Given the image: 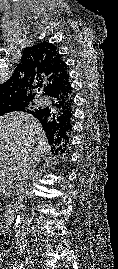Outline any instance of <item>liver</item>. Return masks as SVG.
Returning a JSON list of instances; mask_svg holds the SVG:
<instances>
[{
  "label": "liver",
  "instance_id": "1",
  "mask_svg": "<svg viewBox=\"0 0 118 269\" xmlns=\"http://www.w3.org/2000/svg\"><path fill=\"white\" fill-rule=\"evenodd\" d=\"M50 145L40 122L24 112L0 116V175L3 170L17 172L23 162L37 164L50 152Z\"/></svg>",
  "mask_w": 118,
  "mask_h": 269
}]
</instances>
